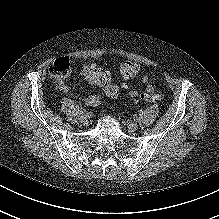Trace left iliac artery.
<instances>
[{
    "label": "left iliac artery",
    "instance_id": "1",
    "mask_svg": "<svg viewBox=\"0 0 219 219\" xmlns=\"http://www.w3.org/2000/svg\"><path fill=\"white\" fill-rule=\"evenodd\" d=\"M134 120L137 121V120H138V117H137V116H134Z\"/></svg>",
    "mask_w": 219,
    "mask_h": 219
}]
</instances>
